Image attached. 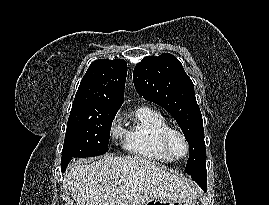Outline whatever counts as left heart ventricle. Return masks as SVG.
Segmentation results:
<instances>
[{
	"mask_svg": "<svg viewBox=\"0 0 269 205\" xmlns=\"http://www.w3.org/2000/svg\"><path fill=\"white\" fill-rule=\"evenodd\" d=\"M171 147L177 156H183L186 152V146L179 135H174L171 139Z\"/></svg>",
	"mask_w": 269,
	"mask_h": 205,
	"instance_id": "obj_1",
	"label": "left heart ventricle"
}]
</instances>
